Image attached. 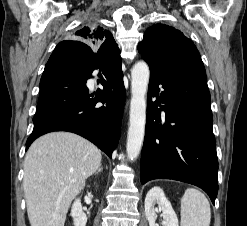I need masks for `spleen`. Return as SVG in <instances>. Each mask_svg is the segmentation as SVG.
<instances>
[{"label":"spleen","instance_id":"obj_1","mask_svg":"<svg viewBox=\"0 0 247 226\" xmlns=\"http://www.w3.org/2000/svg\"><path fill=\"white\" fill-rule=\"evenodd\" d=\"M211 209L200 191L189 188L181 199V226H209Z\"/></svg>","mask_w":247,"mask_h":226}]
</instances>
